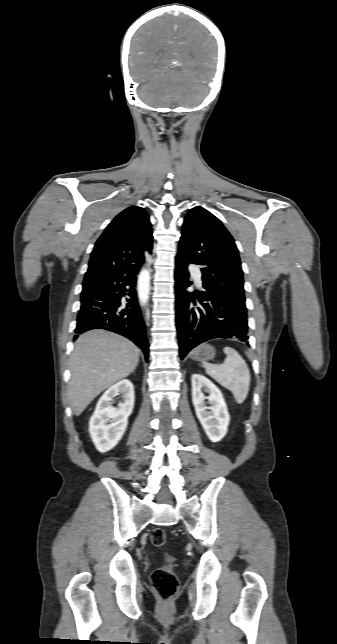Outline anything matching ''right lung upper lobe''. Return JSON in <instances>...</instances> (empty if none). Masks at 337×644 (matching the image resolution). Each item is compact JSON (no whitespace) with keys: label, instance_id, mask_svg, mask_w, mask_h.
<instances>
[{"label":"right lung upper lobe","instance_id":"1","mask_svg":"<svg viewBox=\"0 0 337 644\" xmlns=\"http://www.w3.org/2000/svg\"><path fill=\"white\" fill-rule=\"evenodd\" d=\"M152 240L148 213L136 206L125 209L95 243L83 284H94L125 266L142 264L144 251L151 253Z\"/></svg>","mask_w":337,"mask_h":644}]
</instances>
